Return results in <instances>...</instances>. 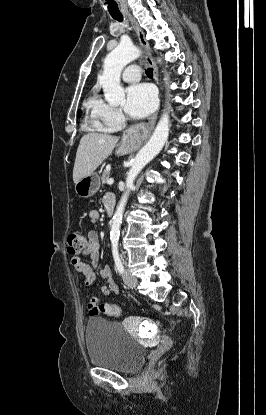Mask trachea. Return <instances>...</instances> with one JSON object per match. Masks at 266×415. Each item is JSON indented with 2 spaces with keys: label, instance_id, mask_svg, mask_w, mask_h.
<instances>
[{
  "label": "trachea",
  "instance_id": "3493384b",
  "mask_svg": "<svg viewBox=\"0 0 266 415\" xmlns=\"http://www.w3.org/2000/svg\"><path fill=\"white\" fill-rule=\"evenodd\" d=\"M115 20L122 22L123 21V16L122 15H118V16H112ZM146 75L148 77H153V69L152 68H148L146 71Z\"/></svg>",
  "mask_w": 266,
  "mask_h": 415
}]
</instances>
